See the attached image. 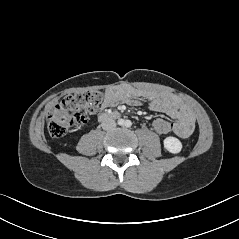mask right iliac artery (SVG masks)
<instances>
[{
  "instance_id": "1",
  "label": "right iliac artery",
  "mask_w": 239,
  "mask_h": 239,
  "mask_svg": "<svg viewBox=\"0 0 239 239\" xmlns=\"http://www.w3.org/2000/svg\"><path fill=\"white\" fill-rule=\"evenodd\" d=\"M118 124H119V125H123V124H124V120L120 119V120L118 121Z\"/></svg>"
}]
</instances>
